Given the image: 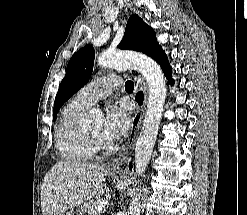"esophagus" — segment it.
<instances>
[{
  "label": "esophagus",
  "mask_w": 247,
  "mask_h": 215,
  "mask_svg": "<svg viewBox=\"0 0 247 215\" xmlns=\"http://www.w3.org/2000/svg\"><path fill=\"white\" fill-rule=\"evenodd\" d=\"M148 97V87L146 82L140 76L137 77L135 83V89L133 94V101L135 103V111L130 121V132L126 142L121 147L119 157L112 159L107 165L106 170L112 173H121L122 165L127 162L131 150L133 149L134 143L138 131L141 127V123L144 117L146 103Z\"/></svg>",
  "instance_id": "obj_1"
}]
</instances>
